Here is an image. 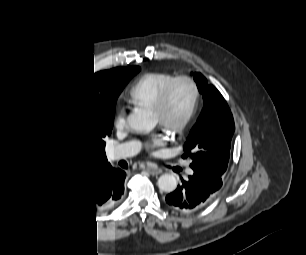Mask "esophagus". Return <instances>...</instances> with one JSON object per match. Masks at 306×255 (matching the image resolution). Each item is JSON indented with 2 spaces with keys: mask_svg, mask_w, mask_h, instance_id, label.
<instances>
[{
  "mask_svg": "<svg viewBox=\"0 0 306 255\" xmlns=\"http://www.w3.org/2000/svg\"><path fill=\"white\" fill-rule=\"evenodd\" d=\"M147 170L151 173V174H159L161 172V169L156 165V164H148L147 166Z\"/></svg>",
  "mask_w": 306,
  "mask_h": 255,
  "instance_id": "esophagus-1",
  "label": "esophagus"
}]
</instances>
